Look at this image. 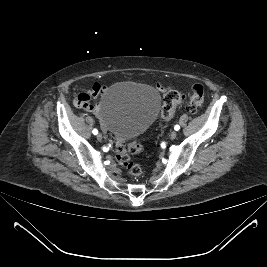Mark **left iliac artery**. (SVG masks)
Masks as SVG:
<instances>
[{
  "mask_svg": "<svg viewBox=\"0 0 267 267\" xmlns=\"http://www.w3.org/2000/svg\"><path fill=\"white\" fill-rule=\"evenodd\" d=\"M174 129H175L176 131H178V130L180 129V126H179V125H175Z\"/></svg>",
  "mask_w": 267,
  "mask_h": 267,
  "instance_id": "left-iliac-artery-1",
  "label": "left iliac artery"
}]
</instances>
